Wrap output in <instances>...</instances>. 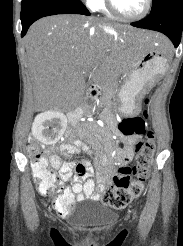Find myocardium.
I'll use <instances>...</instances> for the list:
<instances>
[{"mask_svg": "<svg viewBox=\"0 0 183 246\" xmlns=\"http://www.w3.org/2000/svg\"><path fill=\"white\" fill-rule=\"evenodd\" d=\"M106 6L109 10V12L114 15L116 18L123 20V21H128V22H133V21H138L143 19L151 10L153 0H146L145 7L142 10L141 13L135 16H126L123 15L116 7L114 0H105Z\"/></svg>", "mask_w": 183, "mask_h": 246, "instance_id": "myocardium-1", "label": "myocardium"}]
</instances>
